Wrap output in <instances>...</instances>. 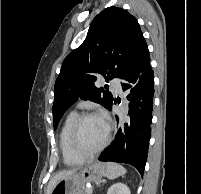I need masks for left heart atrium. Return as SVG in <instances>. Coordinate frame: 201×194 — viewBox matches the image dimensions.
Segmentation results:
<instances>
[{"instance_id":"left-heart-atrium-1","label":"left heart atrium","mask_w":201,"mask_h":194,"mask_svg":"<svg viewBox=\"0 0 201 194\" xmlns=\"http://www.w3.org/2000/svg\"><path fill=\"white\" fill-rule=\"evenodd\" d=\"M98 117H99V119L101 120V122L103 123V125H104V127H105V129H106V131H107V130H108V125H107L105 116H104L103 114H101V115L98 116Z\"/></svg>"}]
</instances>
